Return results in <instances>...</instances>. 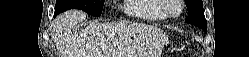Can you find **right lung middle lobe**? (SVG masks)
<instances>
[{
	"mask_svg": "<svg viewBox=\"0 0 249 57\" xmlns=\"http://www.w3.org/2000/svg\"><path fill=\"white\" fill-rule=\"evenodd\" d=\"M103 4L104 0H57L55 10L63 12L75 8L99 17L102 13Z\"/></svg>",
	"mask_w": 249,
	"mask_h": 57,
	"instance_id": "right-lung-middle-lobe-1",
	"label": "right lung middle lobe"
}]
</instances>
